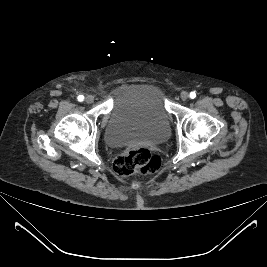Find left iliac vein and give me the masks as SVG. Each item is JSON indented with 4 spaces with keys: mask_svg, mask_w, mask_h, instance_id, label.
<instances>
[{
    "mask_svg": "<svg viewBox=\"0 0 267 267\" xmlns=\"http://www.w3.org/2000/svg\"><path fill=\"white\" fill-rule=\"evenodd\" d=\"M181 100L186 101L189 98V94L185 91H183L180 95Z\"/></svg>",
    "mask_w": 267,
    "mask_h": 267,
    "instance_id": "4c4485c4",
    "label": "left iliac vein"
}]
</instances>
